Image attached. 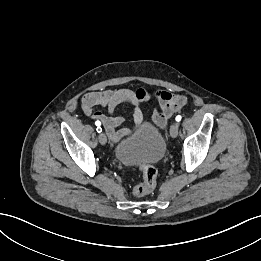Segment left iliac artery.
<instances>
[{
	"instance_id": "44dca946",
	"label": "left iliac artery",
	"mask_w": 261,
	"mask_h": 261,
	"mask_svg": "<svg viewBox=\"0 0 261 261\" xmlns=\"http://www.w3.org/2000/svg\"><path fill=\"white\" fill-rule=\"evenodd\" d=\"M181 119H182V117H181L180 115L176 116V118H175V120H176L177 122L181 121Z\"/></svg>"
}]
</instances>
